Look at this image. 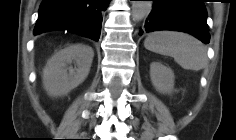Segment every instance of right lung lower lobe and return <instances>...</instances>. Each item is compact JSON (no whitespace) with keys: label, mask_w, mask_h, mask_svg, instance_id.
Wrapping results in <instances>:
<instances>
[{"label":"right lung lower lobe","mask_w":236,"mask_h":140,"mask_svg":"<svg viewBox=\"0 0 236 140\" xmlns=\"http://www.w3.org/2000/svg\"><path fill=\"white\" fill-rule=\"evenodd\" d=\"M110 0H43L34 34L67 30L99 40L102 14Z\"/></svg>","instance_id":"obj_1"}]
</instances>
